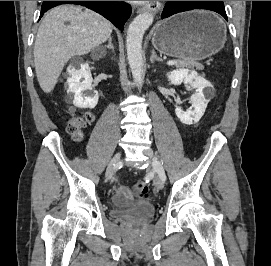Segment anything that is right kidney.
Listing matches in <instances>:
<instances>
[{"label":"right kidney","instance_id":"ca27d5eb","mask_svg":"<svg viewBox=\"0 0 271 266\" xmlns=\"http://www.w3.org/2000/svg\"><path fill=\"white\" fill-rule=\"evenodd\" d=\"M67 72V93L73 94V104L76 107L93 109L98 103V93L91 92L93 79L88 64H81L78 69L70 65Z\"/></svg>","mask_w":271,"mask_h":266}]
</instances>
